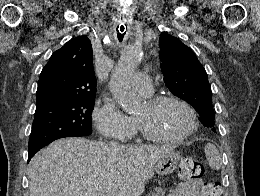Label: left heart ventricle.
I'll return each mask as SVG.
<instances>
[{
    "mask_svg": "<svg viewBox=\"0 0 260 196\" xmlns=\"http://www.w3.org/2000/svg\"><path fill=\"white\" fill-rule=\"evenodd\" d=\"M134 116L150 131L169 136L181 135L191 125L190 112L176 102L166 103L156 109L148 108L145 102ZM110 191L113 190H92V192Z\"/></svg>",
    "mask_w": 260,
    "mask_h": 196,
    "instance_id": "b2bd125f",
    "label": "left heart ventricle"
}]
</instances>
